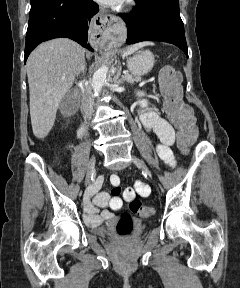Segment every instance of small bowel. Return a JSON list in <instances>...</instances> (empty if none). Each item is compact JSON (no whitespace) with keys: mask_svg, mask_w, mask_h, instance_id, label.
<instances>
[{"mask_svg":"<svg viewBox=\"0 0 240 288\" xmlns=\"http://www.w3.org/2000/svg\"><path fill=\"white\" fill-rule=\"evenodd\" d=\"M139 118L143 128L149 133L153 132L158 137L160 141L157 145L159 157L167 165L174 166L175 159L170 149L175 140L173 127L156 111L142 110L139 112ZM110 180L114 186L111 194L99 191L103 182L102 178H98L85 193L84 220L90 226H97L103 220L111 219L113 217L112 211L122 207L120 178L117 174H113ZM126 191H132L133 194L136 192L141 197H147L150 194V187L146 183L137 180L134 183V188H127ZM99 208L102 209L101 212H99Z\"/></svg>","mask_w":240,"mask_h":288,"instance_id":"obj_1","label":"small bowel"}]
</instances>
